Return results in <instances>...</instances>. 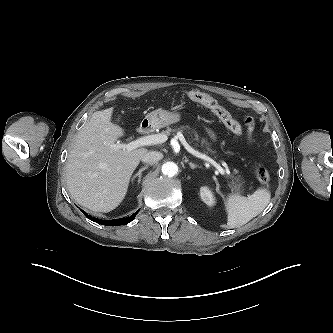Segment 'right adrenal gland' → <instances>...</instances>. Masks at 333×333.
Masks as SVG:
<instances>
[{
  "instance_id": "1",
  "label": "right adrenal gland",
  "mask_w": 333,
  "mask_h": 333,
  "mask_svg": "<svg viewBox=\"0 0 333 333\" xmlns=\"http://www.w3.org/2000/svg\"><path fill=\"white\" fill-rule=\"evenodd\" d=\"M148 168V165L142 167L141 169H139V171L132 177V182L135 180V178L138 177V185L141 181V177H142V172L145 171Z\"/></svg>"
}]
</instances>
